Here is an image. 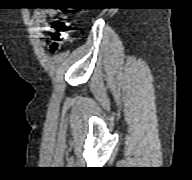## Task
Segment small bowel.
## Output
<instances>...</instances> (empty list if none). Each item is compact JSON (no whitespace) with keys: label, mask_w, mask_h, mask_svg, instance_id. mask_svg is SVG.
Wrapping results in <instances>:
<instances>
[{"label":"small bowel","mask_w":192,"mask_h":180,"mask_svg":"<svg viewBox=\"0 0 192 180\" xmlns=\"http://www.w3.org/2000/svg\"><path fill=\"white\" fill-rule=\"evenodd\" d=\"M55 13L56 12L52 9H43V10L36 11L33 14V19H32L33 25L36 27L39 33L47 29V27L45 26L47 17L48 16L52 17L55 15Z\"/></svg>","instance_id":"c3829d8e"}]
</instances>
